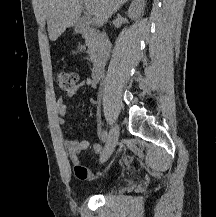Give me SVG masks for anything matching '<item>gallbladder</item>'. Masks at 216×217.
I'll use <instances>...</instances> for the list:
<instances>
[{
    "label": "gallbladder",
    "instance_id": "1",
    "mask_svg": "<svg viewBox=\"0 0 216 217\" xmlns=\"http://www.w3.org/2000/svg\"><path fill=\"white\" fill-rule=\"evenodd\" d=\"M81 26L78 24L76 28H80Z\"/></svg>",
    "mask_w": 216,
    "mask_h": 217
}]
</instances>
